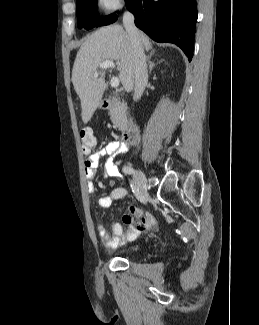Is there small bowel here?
Returning <instances> with one entry per match:
<instances>
[{
	"label": "small bowel",
	"mask_w": 259,
	"mask_h": 325,
	"mask_svg": "<svg viewBox=\"0 0 259 325\" xmlns=\"http://www.w3.org/2000/svg\"><path fill=\"white\" fill-rule=\"evenodd\" d=\"M129 146L130 143L124 144L122 142L112 141L91 154L85 160V176L89 193L94 194L96 192L94 179L97 174L99 161L102 157H107L103 166V176L113 180H120L122 178L116 158L126 152ZM127 194L128 192L124 187H116L108 195L100 197L98 204L102 209H106L111 206L113 201L123 199ZM154 223L155 220L152 215L143 214L137 207L130 206L128 213L123 216V225L113 223L110 227L111 234H109L106 226L99 224L97 231L104 247L106 249H115L128 241L134 240L142 231L152 227Z\"/></svg>",
	"instance_id": "1"
}]
</instances>
